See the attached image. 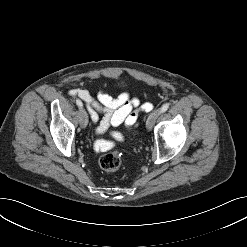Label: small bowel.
Listing matches in <instances>:
<instances>
[{"mask_svg": "<svg viewBox=\"0 0 247 247\" xmlns=\"http://www.w3.org/2000/svg\"><path fill=\"white\" fill-rule=\"evenodd\" d=\"M69 95L81 98L87 106L90 116L94 122L99 120V115H102L97 132L102 134L111 126H118L124 123L127 127H133L137 121L136 108H142L145 111H150V104H143L141 101L133 97L128 91L120 93L113 97L104 90H99L96 98H93L90 93L83 88H73L69 91ZM104 141H97L96 149H106L103 147Z\"/></svg>", "mask_w": 247, "mask_h": 247, "instance_id": "1", "label": "small bowel"}]
</instances>
